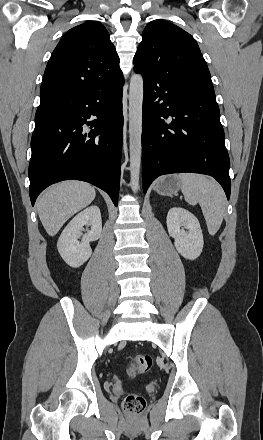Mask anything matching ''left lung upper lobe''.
I'll use <instances>...</instances> for the list:
<instances>
[{"label": "left lung upper lobe", "mask_w": 263, "mask_h": 440, "mask_svg": "<svg viewBox=\"0 0 263 440\" xmlns=\"http://www.w3.org/2000/svg\"><path fill=\"white\" fill-rule=\"evenodd\" d=\"M134 68L168 74L191 87L214 93L210 72L196 40L180 27L161 19L145 27Z\"/></svg>", "instance_id": "1"}]
</instances>
